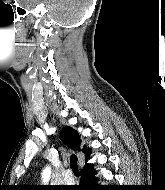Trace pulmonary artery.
<instances>
[{
	"label": "pulmonary artery",
	"instance_id": "e3ab8cb5",
	"mask_svg": "<svg viewBox=\"0 0 165 190\" xmlns=\"http://www.w3.org/2000/svg\"><path fill=\"white\" fill-rule=\"evenodd\" d=\"M74 182L72 172L70 170H66L65 175H64V183L66 184H71Z\"/></svg>",
	"mask_w": 165,
	"mask_h": 190
}]
</instances>
